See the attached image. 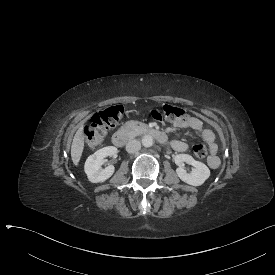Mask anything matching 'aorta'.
<instances>
[{
    "label": "aorta",
    "instance_id": "obj_1",
    "mask_svg": "<svg viewBox=\"0 0 275 275\" xmlns=\"http://www.w3.org/2000/svg\"><path fill=\"white\" fill-rule=\"evenodd\" d=\"M142 145L144 147H151L153 145V137L151 135H145L142 138Z\"/></svg>",
    "mask_w": 275,
    "mask_h": 275
}]
</instances>
